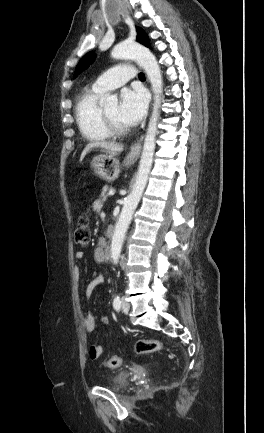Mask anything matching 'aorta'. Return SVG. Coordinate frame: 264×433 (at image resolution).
I'll list each match as a JSON object with an SVG mask.
<instances>
[{
    "mask_svg": "<svg viewBox=\"0 0 264 433\" xmlns=\"http://www.w3.org/2000/svg\"><path fill=\"white\" fill-rule=\"evenodd\" d=\"M111 56L114 59H134L145 70L154 94L153 110L144 139L143 150L139 162L138 172L131 193L125 198L124 205L115 226L111 241L110 254L113 263L118 264L123 241L134 211L140 202L148 177L152 168L156 146L157 123L160 116L161 95L163 82L160 67L155 56L144 46L135 42H122L116 45ZM115 96H108L107 103L116 102Z\"/></svg>",
    "mask_w": 264,
    "mask_h": 433,
    "instance_id": "762f6f07",
    "label": "aorta"
}]
</instances>
